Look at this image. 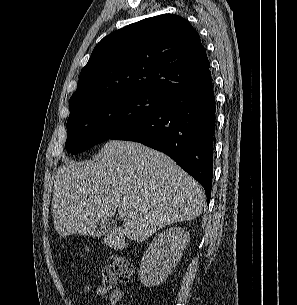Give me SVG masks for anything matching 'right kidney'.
Instances as JSON below:
<instances>
[{
	"mask_svg": "<svg viewBox=\"0 0 297 305\" xmlns=\"http://www.w3.org/2000/svg\"><path fill=\"white\" fill-rule=\"evenodd\" d=\"M190 240L186 228L174 227L160 232L144 252L139 269L141 283L158 286L172 273Z\"/></svg>",
	"mask_w": 297,
	"mask_h": 305,
	"instance_id": "obj_1",
	"label": "right kidney"
}]
</instances>
